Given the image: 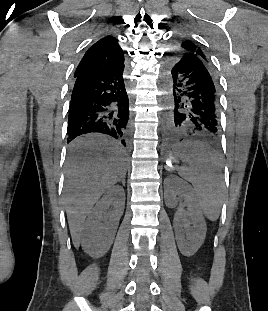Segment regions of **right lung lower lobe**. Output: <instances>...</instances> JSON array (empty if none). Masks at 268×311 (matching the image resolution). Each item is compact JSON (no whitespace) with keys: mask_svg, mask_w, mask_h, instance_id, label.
I'll list each match as a JSON object with an SVG mask.
<instances>
[{"mask_svg":"<svg viewBox=\"0 0 268 311\" xmlns=\"http://www.w3.org/2000/svg\"><path fill=\"white\" fill-rule=\"evenodd\" d=\"M123 71L124 65L74 76L68 143L83 134L102 133L118 139L123 146L128 144L131 122Z\"/></svg>","mask_w":268,"mask_h":311,"instance_id":"right-lung-lower-lobe-1","label":"right lung lower lobe"}]
</instances>
